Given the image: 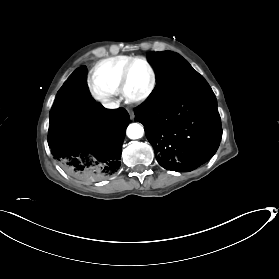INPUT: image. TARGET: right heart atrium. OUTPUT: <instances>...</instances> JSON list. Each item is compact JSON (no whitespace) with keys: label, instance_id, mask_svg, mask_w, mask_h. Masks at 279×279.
Masks as SVG:
<instances>
[{"label":"right heart atrium","instance_id":"right-heart-atrium-1","mask_svg":"<svg viewBox=\"0 0 279 279\" xmlns=\"http://www.w3.org/2000/svg\"><path fill=\"white\" fill-rule=\"evenodd\" d=\"M91 90H92V94L95 97V99H97L98 101H101V102H105L111 96V94L109 92H107L106 90H104L103 88L98 87V86L92 85Z\"/></svg>","mask_w":279,"mask_h":279}]
</instances>
